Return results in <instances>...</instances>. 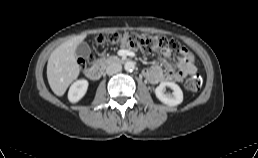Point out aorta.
I'll return each mask as SVG.
<instances>
[{"mask_svg": "<svg viewBox=\"0 0 258 158\" xmlns=\"http://www.w3.org/2000/svg\"><path fill=\"white\" fill-rule=\"evenodd\" d=\"M135 68V63L133 61H127L125 64H124V69L127 71V72H132Z\"/></svg>", "mask_w": 258, "mask_h": 158, "instance_id": "obj_1", "label": "aorta"}]
</instances>
